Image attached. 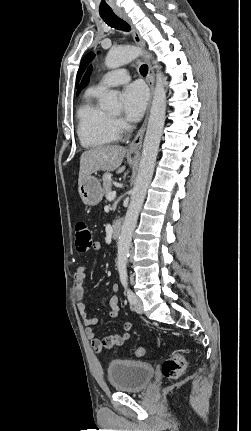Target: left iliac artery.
Here are the masks:
<instances>
[{"label":"left iliac artery","mask_w":251,"mask_h":431,"mask_svg":"<svg viewBox=\"0 0 251 431\" xmlns=\"http://www.w3.org/2000/svg\"><path fill=\"white\" fill-rule=\"evenodd\" d=\"M118 270H119L121 283L127 292L128 300H129L130 304H133L134 303V293L128 287L127 269L125 266H120Z\"/></svg>","instance_id":"44dca946"}]
</instances>
